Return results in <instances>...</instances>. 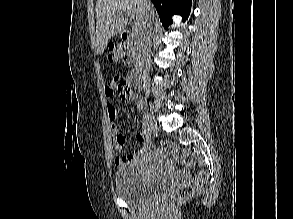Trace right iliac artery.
I'll return each mask as SVG.
<instances>
[{
  "label": "right iliac artery",
  "instance_id": "right-iliac-artery-1",
  "mask_svg": "<svg viewBox=\"0 0 293 219\" xmlns=\"http://www.w3.org/2000/svg\"><path fill=\"white\" fill-rule=\"evenodd\" d=\"M144 132L147 135L150 133V130H149V128L147 126L144 127Z\"/></svg>",
  "mask_w": 293,
  "mask_h": 219
}]
</instances>
